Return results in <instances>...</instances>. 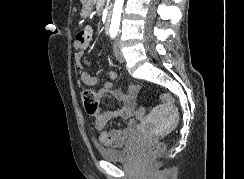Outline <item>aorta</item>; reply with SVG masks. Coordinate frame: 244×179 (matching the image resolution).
Masks as SVG:
<instances>
[{
    "mask_svg": "<svg viewBox=\"0 0 244 179\" xmlns=\"http://www.w3.org/2000/svg\"><path fill=\"white\" fill-rule=\"evenodd\" d=\"M123 4H124V0H115L112 20L110 24V32H118L119 30Z\"/></svg>",
    "mask_w": 244,
    "mask_h": 179,
    "instance_id": "aorta-1",
    "label": "aorta"
}]
</instances>
